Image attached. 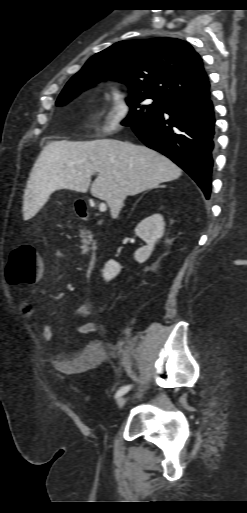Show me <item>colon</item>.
Here are the masks:
<instances>
[{"mask_svg": "<svg viewBox=\"0 0 247 513\" xmlns=\"http://www.w3.org/2000/svg\"><path fill=\"white\" fill-rule=\"evenodd\" d=\"M43 273V265L35 248L30 244H19L10 253L6 267V280L11 285H30Z\"/></svg>", "mask_w": 247, "mask_h": 513, "instance_id": "colon-1", "label": "colon"}]
</instances>
